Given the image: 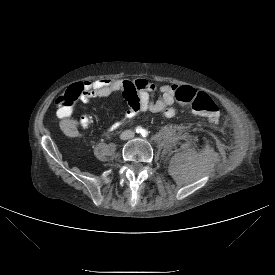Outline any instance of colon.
I'll return each instance as SVG.
<instances>
[{"mask_svg": "<svg viewBox=\"0 0 275 275\" xmlns=\"http://www.w3.org/2000/svg\"><path fill=\"white\" fill-rule=\"evenodd\" d=\"M79 96V89L73 87L56 99L58 114L69 117ZM176 100L182 108H190L195 113L206 117L210 122H216L220 117V108L214 99L206 92L189 86L181 87L176 92Z\"/></svg>", "mask_w": 275, "mask_h": 275, "instance_id": "obj_1", "label": "colon"}]
</instances>
